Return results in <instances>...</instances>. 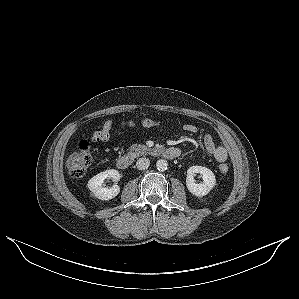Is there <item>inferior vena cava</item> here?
Wrapping results in <instances>:
<instances>
[{
	"instance_id": "obj_1",
	"label": "inferior vena cava",
	"mask_w": 299,
	"mask_h": 299,
	"mask_svg": "<svg viewBox=\"0 0 299 299\" xmlns=\"http://www.w3.org/2000/svg\"><path fill=\"white\" fill-rule=\"evenodd\" d=\"M150 160L146 157L140 158L136 162V166L139 170H145L149 167Z\"/></svg>"
}]
</instances>
